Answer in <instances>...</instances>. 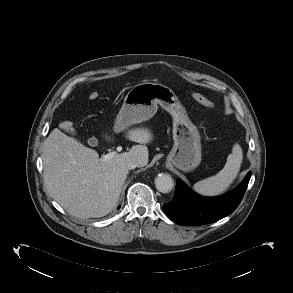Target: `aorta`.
Here are the masks:
<instances>
[{
    "label": "aorta",
    "mask_w": 293,
    "mask_h": 293,
    "mask_svg": "<svg viewBox=\"0 0 293 293\" xmlns=\"http://www.w3.org/2000/svg\"><path fill=\"white\" fill-rule=\"evenodd\" d=\"M173 186L174 182L169 174L161 173L155 178V187L161 193H169Z\"/></svg>",
    "instance_id": "aorta-1"
}]
</instances>
